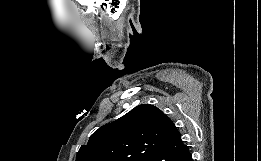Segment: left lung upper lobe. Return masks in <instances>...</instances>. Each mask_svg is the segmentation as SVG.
Instances as JSON below:
<instances>
[{
  "label": "left lung upper lobe",
  "mask_w": 261,
  "mask_h": 161,
  "mask_svg": "<svg viewBox=\"0 0 261 161\" xmlns=\"http://www.w3.org/2000/svg\"><path fill=\"white\" fill-rule=\"evenodd\" d=\"M176 132L159 108L141 104L95 131L79 149L76 161H149Z\"/></svg>",
  "instance_id": "left-lung-upper-lobe-1"
}]
</instances>
